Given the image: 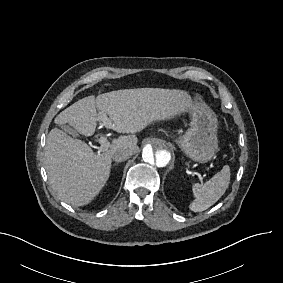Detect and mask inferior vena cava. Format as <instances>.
<instances>
[{"label": "inferior vena cava", "instance_id": "602c4592", "mask_svg": "<svg viewBox=\"0 0 283 283\" xmlns=\"http://www.w3.org/2000/svg\"><path fill=\"white\" fill-rule=\"evenodd\" d=\"M134 154L129 146L116 147L113 151V159L115 162H124Z\"/></svg>", "mask_w": 283, "mask_h": 283}]
</instances>
